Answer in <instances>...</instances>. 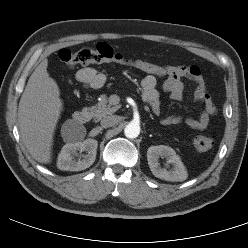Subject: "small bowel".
Instances as JSON below:
<instances>
[{
  "instance_id": "obj_1",
  "label": "small bowel",
  "mask_w": 248,
  "mask_h": 248,
  "mask_svg": "<svg viewBox=\"0 0 248 248\" xmlns=\"http://www.w3.org/2000/svg\"><path fill=\"white\" fill-rule=\"evenodd\" d=\"M165 81L163 83L164 91L172 100L179 101L183 97L184 80H191L194 84V99L203 104V110L198 118L181 116H167L161 119L164 126L177 125L184 123L194 130H204L210 121V118L216 114V107L205 87V81L200 69L194 65L182 66H164ZM76 79L85 87L91 89L101 88L106 81L103 73L92 67H86L78 70ZM157 79L154 74H147L141 82L143 99L150 105L152 111L159 115L161 112V100L159 92L156 89Z\"/></svg>"
}]
</instances>
